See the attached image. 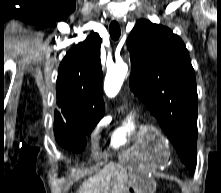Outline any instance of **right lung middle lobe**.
<instances>
[{
	"mask_svg": "<svg viewBox=\"0 0 221 193\" xmlns=\"http://www.w3.org/2000/svg\"><path fill=\"white\" fill-rule=\"evenodd\" d=\"M102 116L92 115L86 118L62 120L55 119L54 131L57 142L73 152H81L86 145L85 135L90 133Z\"/></svg>",
	"mask_w": 221,
	"mask_h": 193,
	"instance_id": "1",
	"label": "right lung middle lobe"
}]
</instances>
